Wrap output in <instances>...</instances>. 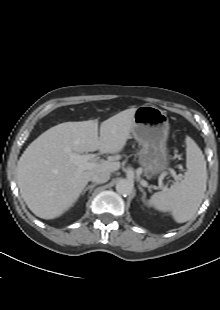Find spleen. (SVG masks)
Wrapping results in <instances>:
<instances>
[{"instance_id": "3e777b00", "label": "spleen", "mask_w": 220, "mask_h": 310, "mask_svg": "<svg viewBox=\"0 0 220 310\" xmlns=\"http://www.w3.org/2000/svg\"><path fill=\"white\" fill-rule=\"evenodd\" d=\"M187 171L180 182L168 190L155 193L149 205L161 212H171L174 220L184 223L197 212L206 191L207 169L204 155L197 144L186 138Z\"/></svg>"}]
</instances>
